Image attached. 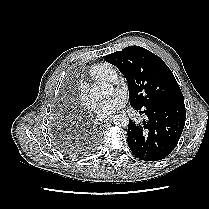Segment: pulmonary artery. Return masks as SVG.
Instances as JSON below:
<instances>
[{"instance_id":"1","label":"pulmonary artery","mask_w":209,"mask_h":209,"mask_svg":"<svg viewBox=\"0 0 209 209\" xmlns=\"http://www.w3.org/2000/svg\"><path fill=\"white\" fill-rule=\"evenodd\" d=\"M116 79H117V74L114 73V74L111 76V78H110V82H113V81H115Z\"/></svg>"}]
</instances>
